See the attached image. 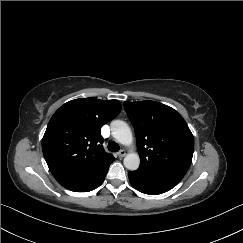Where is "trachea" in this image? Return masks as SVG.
<instances>
[{"instance_id": "obj_1", "label": "trachea", "mask_w": 243, "mask_h": 243, "mask_svg": "<svg viewBox=\"0 0 243 243\" xmlns=\"http://www.w3.org/2000/svg\"><path fill=\"white\" fill-rule=\"evenodd\" d=\"M108 149L112 152H118L120 149V146L116 142L110 141L108 143Z\"/></svg>"}]
</instances>
